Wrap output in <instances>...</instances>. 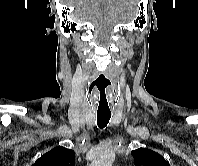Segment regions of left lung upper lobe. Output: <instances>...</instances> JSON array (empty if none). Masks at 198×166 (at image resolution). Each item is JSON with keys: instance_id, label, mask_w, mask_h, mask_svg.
<instances>
[{"instance_id": "1", "label": "left lung upper lobe", "mask_w": 198, "mask_h": 166, "mask_svg": "<svg viewBox=\"0 0 198 166\" xmlns=\"http://www.w3.org/2000/svg\"><path fill=\"white\" fill-rule=\"evenodd\" d=\"M135 166H169L168 162L158 153L146 149L139 148L131 152Z\"/></svg>"}]
</instances>
